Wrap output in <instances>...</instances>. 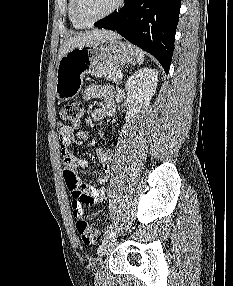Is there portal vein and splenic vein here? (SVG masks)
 I'll use <instances>...</instances> for the list:
<instances>
[{"mask_svg":"<svg viewBox=\"0 0 233 286\" xmlns=\"http://www.w3.org/2000/svg\"><path fill=\"white\" fill-rule=\"evenodd\" d=\"M117 75H118V77L122 78L123 73L122 72H118Z\"/></svg>","mask_w":233,"mask_h":286,"instance_id":"1","label":"portal vein and splenic vein"}]
</instances>
